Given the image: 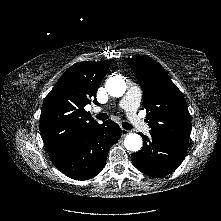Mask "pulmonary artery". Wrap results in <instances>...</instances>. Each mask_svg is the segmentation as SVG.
<instances>
[{
  "label": "pulmonary artery",
  "instance_id": "1",
  "mask_svg": "<svg viewBox=\"0 0 221 221\" xmlns=\"http://www.w3.org/2000/svg\"><path fill=\"white\" fill-rule=\"evenodd\" d=\"M141 100V90L138 86H131L122 100L119 107L122 108L130 121V123L140 131H148V126L137 115V108Z\"/></svg>",
  "mask_w": 221,
  "mask_h": 221
}]
</instances>
